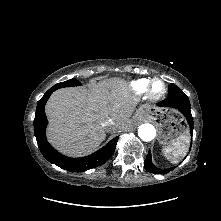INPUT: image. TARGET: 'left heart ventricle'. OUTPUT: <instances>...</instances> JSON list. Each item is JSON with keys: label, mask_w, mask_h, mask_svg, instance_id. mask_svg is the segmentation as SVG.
<instances>
[{"label": "left heart ventricle", "mask_w": 221, "mask_h": 221, "mask_svg": "<svg viewBox=\"0 0 221 221\" xmlns=\"http://www.w3.org/2000/svg\"><path fill=\"white\" fill-rule=\"evenodd\" d=\"M162 90V85H161V83H156L155 85H154V91L155 92H160Z\"/></svg>", "instance_id": "1"}]
</instances>
